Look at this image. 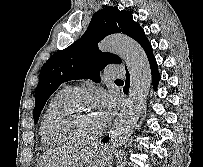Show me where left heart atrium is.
I'll return each instance as SVG.
<instances>
[{
  "mask_svg": "<svg viewBox=\"0 0 203 167\" xmlns=\"http://www.w3.org/2000/svg\"><path fill=\"white\" fill-rule=\"evenodd\" d=\"M114 112V103L108 96H102L99 103V111L97 112L101 122L105 125L112 117Z\"/></svg>",
  "mask_w": 203,
  "mask_h": 167,
  "instance_id": "1",
  "label": "left heart atrium"
}]
</instances>
